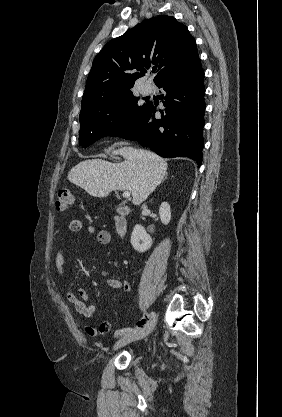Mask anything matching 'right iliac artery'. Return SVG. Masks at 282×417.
<instances>
[{"label":"right iliac artery","mask_w":282,"mask_h":417,"mask_svg":"<svg viewBox=\"0 0 282 417\" xmlns=\"http://www.w3.org/2000/svg\"><path fill=\"white\" fill-rule=\"evenodd\" d=\"M155 313L154 312H151L150 313V317L151 318H155ZM138 329L139 328H123V329H120V330H117L116 332H115V336H118V335H122V334H124V333H128V332H137L138 331Z\"/></svg>","instance_id":"1"}]
</instances>
